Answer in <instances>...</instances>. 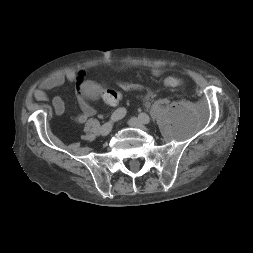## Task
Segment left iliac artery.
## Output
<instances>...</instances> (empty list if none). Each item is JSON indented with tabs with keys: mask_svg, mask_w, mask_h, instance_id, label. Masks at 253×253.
Listing matches in <instances>:
<instances>
[{
	"mask_svg": "<svg viewBox=\"0 0 253 253\" xmlns=\"http://www.w3.org/2000/svg\"><path fill=\"white\" fill-rule=\"evenodd\" d=\"M138 118H139L140 120L146 122V121H147V118H148V115L145 114V113H140V114L138 115ZM147 122H148V121H147Z\"/></svg>",
	"mask_w": 253,
	"mask_h": 253,
	"instance_id": "44dca946",
	"label": "left iliac artery"
}]
</instances>
